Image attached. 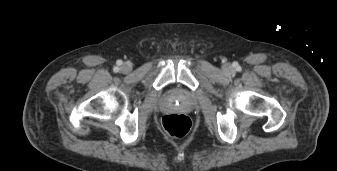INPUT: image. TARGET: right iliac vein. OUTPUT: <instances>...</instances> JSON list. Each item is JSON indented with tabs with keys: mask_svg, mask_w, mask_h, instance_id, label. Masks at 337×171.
I'll return each mask as SVG.
<instances>
[{
	"mask_svg": "<svg viewBox=\"0 0 337 171\" xmlns=\"http://www.w3.org/2000/svg\"><path fill=\"white\" fill-rule=\"evenodd\" d=\"M131 65L129 63H124L122 66H121V71L124 72V73H128L131 71Z\"/></svg>",
	"mask_w": 337,
	"mask_h": 171,
	"instance_id": "right-iliac-vein-1",
	"label": "right iliac vein"
}]
</instances>
